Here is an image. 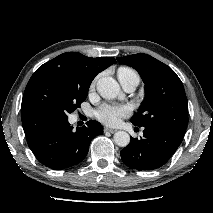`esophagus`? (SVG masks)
Wrapping results in <instances>:
<instances>
[{"instance_id":"obj_1","label":"esophagus","mask_w":213,"mask_h":213,"mask_svg":"<svg viewBox=\"0 0 213 213\" xmlns=\"http://www.w3.org/2000/svg\"><path fill=\"white\" fill-rule=\"evenodd\" d=\"M104 131H105V132H110V133H115L117 130H116V129H112V128L106 127V128H104Z\"/></svg>"}]
</instances>
